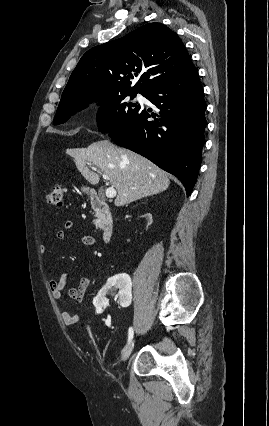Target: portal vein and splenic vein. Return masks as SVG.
Here are the masks:
<instances>
[{
  "label": "portal vein and splenic vein",
  "mask_w": 269,
  "mask_h": 426,
  "mask_svg": "<svg viewBox=\"0 0 269 426\" xmlns=\"http://www.w3.org/2000/svg\"><path fill=\"white\" fill-rule=\"evenodd\" d=\"M92 169L95 170V171L97 170V168H95V167H92ZM102 175H103V178L105 180H109V178L104 173ZM105 194H106L107 198H114L117 195V192L114 189V186H110L106 189Z\"/></svg>",
  "instance_id": "1"
}]
</instances>
